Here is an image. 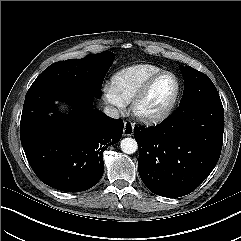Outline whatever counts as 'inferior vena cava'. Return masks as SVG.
Here are the masks:
<instances>
[{"mask_svg": "<svg viewBox=\"0 0 241 241\" xmlns=\"http://www.w3.org/2000/svg\"><path fill=\"white\" fill-rule=\"evenodd\" d=\"M104 113L105 115H107L108 117L112 118V119H118L119 116V111L113 107V106H106L104 107Z\"/></svg>", "mask_w": 241, "mask_h": 241, "instance_id": "obj_1", "label": "inferior vena cava"}]
</instances>
